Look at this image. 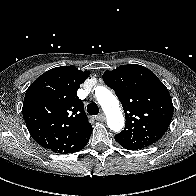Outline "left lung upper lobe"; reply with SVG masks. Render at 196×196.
<instances>
[{
  "mask_svg": "<svg viewBox=\"0 0 196 196\" xmlns=\"http://www.w3.org/2000/svg\"><path fill=\"white\" fill-rule=\"evenodd\" d=\"M103 80L125 112V129L115 135L122 147L143 149L162 138L173 116V104L168 89L152 71L137 64L121 65L105 71Z\"/></svg>",
  "mask_w": 196,
  "mask_h": 196,
  "instance_id": "obj_1",
  "label": "left lung upper lobe"
}]
</instances>
